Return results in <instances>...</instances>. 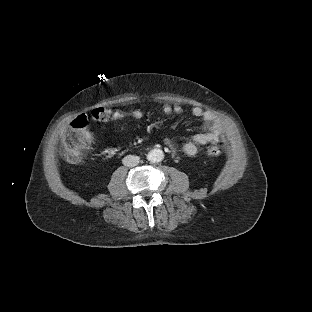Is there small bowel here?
Returning a JSON list of instances; mask_svg holds the SVG:
<instances>
[{
    "mask_svg": "<svg viewBox=\"0 0 312 312\" xmlns=\"http://www.w3.org/2000/svg\"><path fill=\"white\" fill-rule=\"evenodd\" d=\"M163 112L168 115L172 113L181 114L183 107L178 103L171 104L166 102L163 104ZM191 114L196 118L202 119L205 132L191 136L185 143L183 151L189 156L194 155L199 146L218 143L222 136L221 122L213 113L204 110L200 106H193ZM127 115L136 125H139L144 120L143 112L138 109L130 111ZM164 144L172 154H176V148L171 138H164Z\"/></svg>",
    "mask_w": 312,
    "mask_h": 312,
    "instance_id": "obj_1",
    "label": "small bowel"
}]
</instances>
